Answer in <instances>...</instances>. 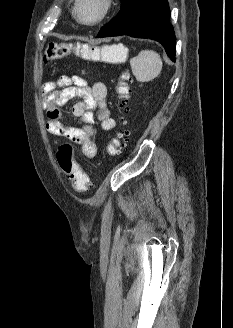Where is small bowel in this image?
Segmentation results:
<instances>
[{
    "mask_svg": "<svg viewBox=\"0 0 233 328\" xmlns=\"http://www.w3.org/2000/svg\"><path fill=\"white\" fill-rule=\"evenodd\" d=\"M59 88V89H58ZM43 106L46 110V128L57 136H63L81 146V153L92 159L97 154L94 141L93 124L96 118L104 131H112L116 121L111 117L107 106V87L102 82L88 86L86 80L80 76H60L56 81L44 84ZM81 98L72 107V114L80 120L79 126H68L63 123L60 108L74 98Z\"/></svg>",
    "mask_w": 233,
    "mask_h": 328,
    "instance_id": "obj_1",
    "label": "small bowel"
}]
</instances>
